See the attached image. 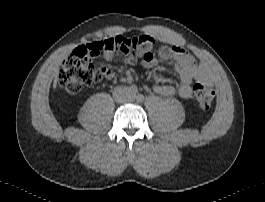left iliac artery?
I'll list each match as a JSON object with an SVG mask.
<instances>
[{
    "mask_svg": "<svg viewBox=\"0 0 265 202\" xmlns=\"http://www.w3.org/2000/svg\"><path fill=\"white\" fill-rule=\"evenodd\" d=\"M144 100V96L142 94H139L137 96V101L142 102Z\"/></svg>",
    "mask_w": 265,
    "mask_h": 202,
    "instance_id": "left-iliac-artery-1",
    "label": "left iliac artery"
}]
</instances>
